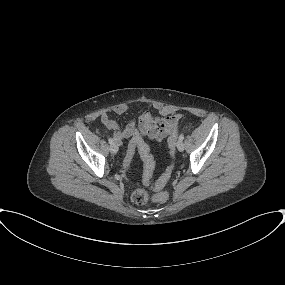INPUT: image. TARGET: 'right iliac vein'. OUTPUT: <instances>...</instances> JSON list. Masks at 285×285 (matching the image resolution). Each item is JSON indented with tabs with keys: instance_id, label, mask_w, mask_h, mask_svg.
<instances>
[{
	"instance_id": "1",
	"label": "right iliac vein",
	"mask_w": 285,
	"mask_h": 285,
	"mask_svg": "<svg viewBox=\"0 0 285 285\" xmlns=\"http://www.w3.org/2000/svg\"><path fill=\"white\" fill-rule=\"evenodd\" d=\"M118 149H119V147L116 143H113L110 145V152L112 154H116L118 152Z\"/></svg>"
}]
</instances>
